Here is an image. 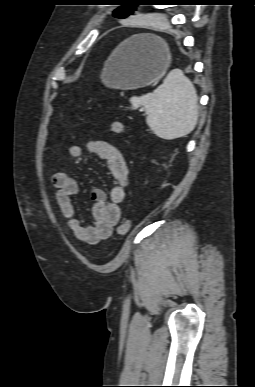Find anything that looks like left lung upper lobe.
Listing matches in <instances>:
<instances>
[{"instance_id":"5c2ea615","label":"left lung upper lobe","mask_w":255,"mask_h":387,"mask_svg":"<svg viewBox=\"0 0 255 387\" xmlns=\"http://www.w3.org/2000/svg\"><path fill=\"white\" fill-rule=\"evenodd\" d=\"M136 0H122V2H135ZM137 4L134 3H126L121 7L117 8L113 15L117 18H126L127 16L134 13L136 10Z\"/></svg>"}]
</instances>
